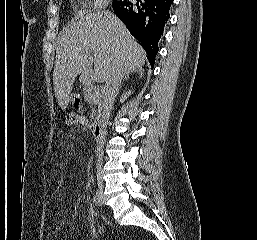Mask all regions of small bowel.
Returning <instances> with one entry per match:
<instances>
[{
    "label": "small bowel",
    "instance_id": "c3829d8e",
    "mask_svg": "<svg viewBox=\"0 0 257 240\" xmlns=\"http://www.w3.org/2000/svg\"><path fill=\"white\" fill-rule=\"evenodd\" d=\"M61 225H68V221H66V220H61Z\"/></svg>",
    "mask_w": 257,
    "mask_h": 240
}]
</instances>
